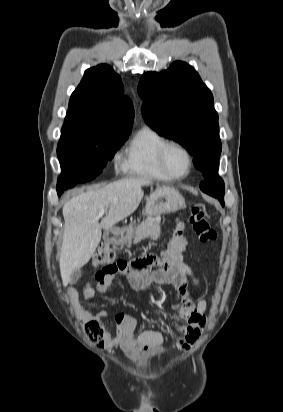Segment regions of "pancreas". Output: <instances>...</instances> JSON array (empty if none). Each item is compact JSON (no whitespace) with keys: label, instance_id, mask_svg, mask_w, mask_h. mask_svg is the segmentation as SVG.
Listing matches in <instances>:
<instances>
[{"label":"pancreas","instance_id":"1","mask_svg":"<svg viewBox=\"0 0 283 412\" xmlns=\"http://www.w3.org/2000/svg\"><path fill=\"white\" fill-rule=\"evenodd\" d=\"M160 220L147 219L141 224L131 227L127 232V242L131 245L133 239L134 243H138L145 238L156 240L160 236Z\"/></svg>","mask_w":283,"mask_h":412}]
</instances>
